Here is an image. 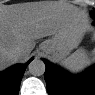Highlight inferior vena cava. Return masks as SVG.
<instances>
[{
	"label": "inferior vena cava",
	"mask_w": 95,
	"mask_h": 95,
	"mask_svg": "<svg viewBox=\"0 0 95 95\" xmlns=\"http://www.w3.org/2000/svg\"><path fill=\"white\" fill-rule=\"evenodd\" d=\"M21 48L17 47L14 51H13V54L17 57V58H20L21 56Z\"/></svg>",
	"instance_id": "602c4592"
}]
</instances>
